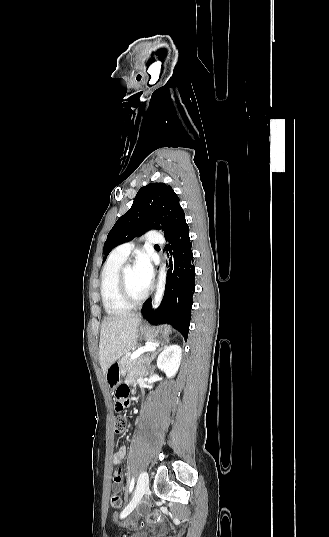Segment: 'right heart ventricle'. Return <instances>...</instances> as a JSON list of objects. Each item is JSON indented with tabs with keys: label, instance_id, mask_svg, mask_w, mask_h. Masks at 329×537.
<instances>
[{
	"label": "right heart ventricle",
	"instance_id": "e07e8e85",
	"mask_svg": "<svg viewBox=\"0 0 329 537\" xmlns=\"http://www.w3.org/2000/svg\"><path fill=\"white\" fill-rule=\"evenodd\" d=\"M125 259L111 254L101 272L100 293L105 311L109 315L128 312L131 306L126 304L119 293L118 272Z\"/></svg>",
	"mask_w": 329,
	"mask_h": 537
}]
</instances>
